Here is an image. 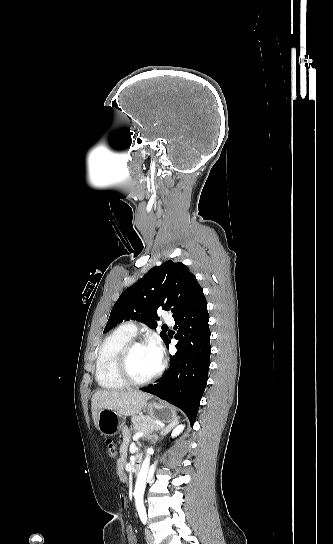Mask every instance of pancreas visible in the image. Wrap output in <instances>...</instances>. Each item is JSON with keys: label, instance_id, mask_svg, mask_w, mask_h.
Returning a JSON list of instances; mask_svg holds the SVG:
<instances>
[{"label": "pancreas", "instance_id": "cf45deb5", "mask_svg": "<svg viewBox=\"0 0 333 544\" xmlns=\"http://www.w3.org/2000/svg\"><path fill=\"white\" fill-rule=\"evenodd\" d=\"M133 428L135 432L138 431H153L160 430L161 426L153 421V419L148 415H139L133 418L132 420Z\"/></svg>", "mask_w": 333, "mask_h": 544}]
</instances>
